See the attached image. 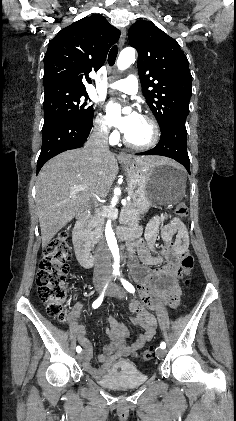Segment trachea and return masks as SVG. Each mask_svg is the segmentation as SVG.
Listing matches in <instances>:
<instances>
[{
    "label": "trachea",
    "instance_id": "obj_1",
    "mask_svg": "<svg viewBox=\"0 0 236 421\" xmlns=\"http://www.w3.org/2000/svg\"><path fill=\"white\" fill-rule=\"evenodd\" d=\"M117 54H118V48L117 45H114L108 55V63L110 66L114 65L116 58H117Z\"/></svg>",
    "mask_w": 236,
    "mask_h": 421
}]
</instances>
